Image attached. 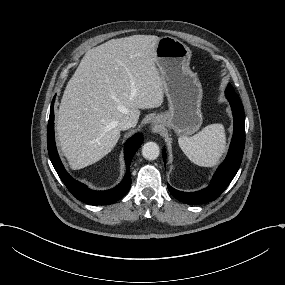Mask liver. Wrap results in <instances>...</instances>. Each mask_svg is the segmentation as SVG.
Segmentation results:
<instances>
[{
  "label": "liver",
  "mask_w": 285,
  "mask_h": 285,
  "mask_svg": "<svg viewBox=\"0 0 285 285\" xmlns=\"http://www.w3.org/2000/svg\"><path fill=\"white\" fill-rule=\"evenodd\" d=\"M160 38L133 35L88 50L61 99L56 130L73 170L96 163L120 138L118 123L136 125L140 109L163 103V81L155 66Z\"/></svg>",
  "instance_id": "obj_1"
}]
</instances>
